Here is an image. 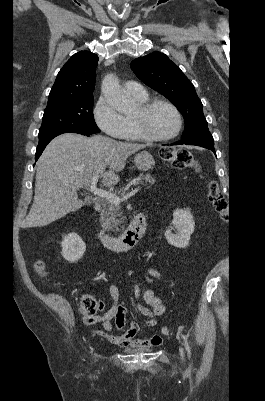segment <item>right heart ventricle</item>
<instances>
[{"instance_id":"obj_1","label":"right heart ventricle","mask_w":265,"mask_h":401,"mask_svg":"<svg viewBox=\"0 0 265 401\" xmlns=\"http://www.w3.org/2000/svg\"><path fill=\"white\" fill-rule=\"evenodd\" d=\"M131 98L134 99L135 102L138 104H142L148 101V95H130ZM126 122V129L122 135H120L118 138L123 141H129V140H137L140 139V135L138 134L136 127H135V117H126L125 119Z\"/></svg>"}]
</instances>
